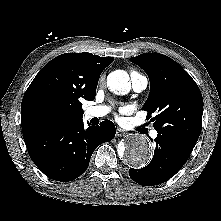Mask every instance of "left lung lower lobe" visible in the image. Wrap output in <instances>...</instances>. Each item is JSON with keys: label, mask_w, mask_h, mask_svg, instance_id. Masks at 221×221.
<instances>
[{"label": "left lung lower lobe", "mask_w": 221, "mask_h": 221, "mask_svg": "<svg viewBox=\"0 0 221 221\" xmlns=\"http://www.w3.org/2000/svg\"><path fill=\"white\" fill-rule=\"evenodd\" d=\"M151 162L141 169H129L135 182L144 186L161 184L176 174L187 161L195 144L181 138L158 134Z\"/></svg>", "instance_id": "left-lung-lower-lobe-1"}]
</instances>
